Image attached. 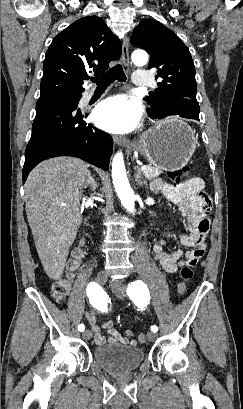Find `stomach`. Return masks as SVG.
I'll return each instance as SVG.
<instances>
[{
  "label": "stomach",
  "mask_w": 243,
  "mask_h": 409,
  "mask_svg": "<svg viewBox=\"0 0 243 409\" xmlns=\"http://www.w3.org/2000/svg\"><path fill=\"white\" fill-rule=\"evenodd\" d=\"M196 144L197 139L191 127L171 117L143 132L134 149L156 168L175 171L188 163Z\"/></svg>",
  "instance_id": "stomach-1"
}]
</instances>
